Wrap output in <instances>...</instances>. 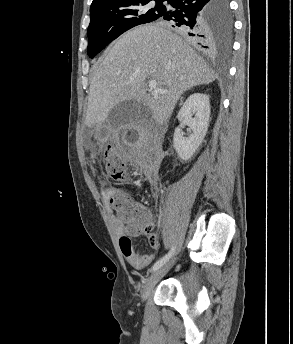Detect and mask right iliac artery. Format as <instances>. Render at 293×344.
I'll use <instances>...</instances> for the list:
<instances>
[{
    "label": "right iliac artery",
    "instance_id": "obj_1",
    "mask_svg": "<svg viewBox=\"0 0 293 344\" xmlns=\"http://www.w3.org/2000/svg\"><path fill=\"white\" fill-rule=\"evenodd\" d=\"M174 252H175V247H172V249L170 250V252H169L167 255H165L164 257H162L161 259H159V260L152 266L151 271H152V272H153V271H156V270H158L161 266H163V265L166 263V261H168L169 258L174 254Z\"/></svg>",
    "mask_w": 293,
    "mask_h": 344
}]
</instances>
